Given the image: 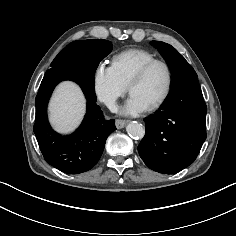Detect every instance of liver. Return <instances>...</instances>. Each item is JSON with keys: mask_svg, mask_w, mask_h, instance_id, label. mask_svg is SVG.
<instances>
[{"mask_svg": "<svg viewBox=\"0 0 236 236\" xmlns=\"http://www.w3.org/2000/svg\"><path fill=\"white\" fill-rule=\"evenodd\" d=\"M86 101L81 89L73 82H63L55 90L49 104V118L61 133L73 131L85 113Z\"/></svg>", "mask_w": 236, "mask_h": 236, "instance_id": "1", "label": "liver"}]
</instances>
